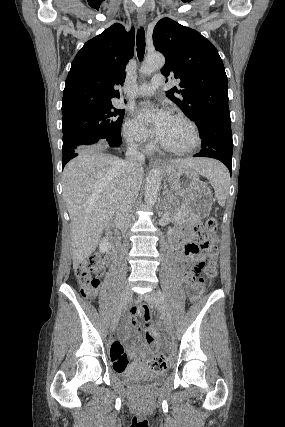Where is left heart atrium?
I'll list each match as a JSON object with an SVG mask.
<instances>
[{
	"label": "left heart atrium",
	"mask_w": 285,
	"mask_h": 427,
	"mask_svg": "<svg viewBox=\"0 0 285 427\" xmlns=\"http://www.w3.org/2000/svg\"><path fill=\"white\" fill-rule=\"evenodd\" d=\"M137 117L141 122L149 124L152 132L160 138L164 135L170 118L167 112L152 105L150 102L140 104L137 110Z\"/></svg>",
	"instance_id": "left-heart-atrium-1"
}]
</instances>
